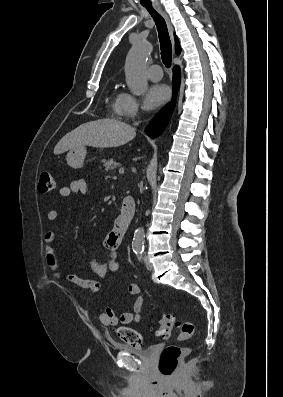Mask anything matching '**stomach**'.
Masks as SVG:
<instances>
[{
    "mask_svg": "<svg viewBox=\"0 0 283 397\" xmlns=\"http://www.w3.org/2000/svg\"><path fill=\"white\" fill-rule=\"evenodd\" d=\"M86 153L85 147L71 149L66 157L67 163L75 169L82 167Z\"/></svg>",
    "mask_w": 283,
    "mask_h": 397,
    "instance_id": "1",
    "label": "stomach"
}]
</instances>
